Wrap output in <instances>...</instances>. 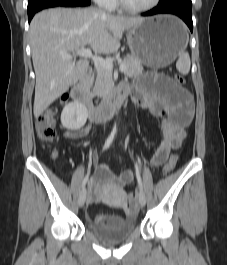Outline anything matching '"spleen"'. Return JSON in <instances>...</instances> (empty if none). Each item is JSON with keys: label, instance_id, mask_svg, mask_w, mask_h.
Listing matches in <instances>:
<instances>
[{"label": "spleen", "instance_id": "1", "mask_svg": "<svg viewBox=\"0 0 227 265\" xmlns=\"http://www.w3.org/2000/svg\"><path fill=\"white\" fill-rule=\"evenodd\" d=\"M190 56L188 54V52H182L179 56V59L176 62V68L177 70L183 74V75H187L190 71Z\"/></svg>", "mask_w": 227, "mask_h": 265}]
</instances>
